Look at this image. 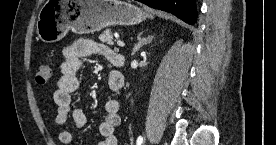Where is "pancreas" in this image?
Listing matches in <instances>:
<instances>
[{"label": "pancreas", "mask_w": 276, "mask_h": 145, "mask_svg": "<svg viewBox=\"0 0 276 145\" xmlns=\"http://www.w3.org/2000/svg\"><path fill=\"white\" fill-rule=\"evenodd\" d=\"M99 39L103 42V43H107L108 45H114L113 42V34L111 32V29H106L105 31H103L100 36Z\"/></svg>", "instance_id": "obj_1"}]
</instances>
